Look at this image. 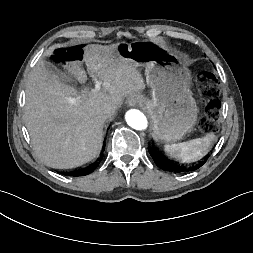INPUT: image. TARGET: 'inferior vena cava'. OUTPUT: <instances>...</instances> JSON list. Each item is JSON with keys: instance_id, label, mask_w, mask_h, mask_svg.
<instances>
[{"instance_id": "1", "label": "inferior vena cava", "mask_w": 253, "mask_h": 253, "mask_svg": "<svg viewBox=\"0 0 253 253\" xmlns=\"http://www.w3.org/2000/svg\"><path fill=\"white\" fill-rule=\"evenodd\" d=\"M116 109H117V107L113 104H105L103 107V113L107 117H110L115 113Z\"/></svg>"}]
</instances>
